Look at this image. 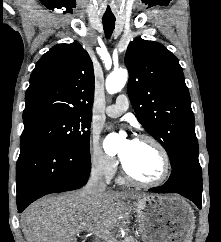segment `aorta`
<instances>
[{
	"label": "aorta",
	"instance_id": "1",
	"mask_svg": "<svg viewBox=\"0 0 221 242\" xmlns=\"http://www.w3.org/2000/svg\"><path fill=\"white\" fill-rule=\"evenodd\" d=\"M128 79V71L125 68H119L110 73L106 78L105 87L109 94L118 93L126 84ZM123 138L121 135L109 134L104 141V149L106 152L118 151Z\"/></svg>",
	"mask_w": 221,
	"mask_h": 242
}]
</instances>
